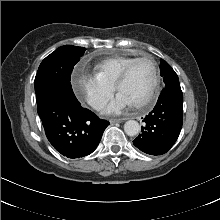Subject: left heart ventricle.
<instances>
[{"mask_svg":"<svg viewBox=\"0 0 220 220\" xmlns=\"http://www.w3.org/2000/svg\"><path fill=\"white\" fill-rule=\"evenodd\" d=\"M153 79L151 63L148 60L138 62L128 78L121 86L120 93L124 94L132 104L143 101L149 94Z\"/></svg>","mask_w":220,"mask_h":220,"instance_id":"1","label":"left heart ventricle"}]
</instances>
